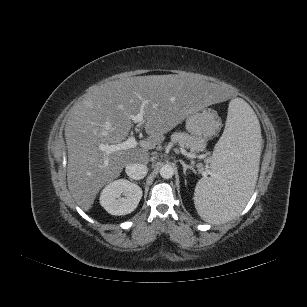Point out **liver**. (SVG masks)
<instances>
[{"label": "liver", "instance_id": "6515ba94", "mask_svg": "<svg viewBox=\"0 0 307 307\" xmlns=\"http://www.w3.org/2000/svg\"><path fill=\"white\" fill-rule=\"evenodd\" d=\"M232 96L228 87L192 74L137 76L90 87L68 112L65 126L67 182L74 201L88 211L104 185L130 163L147 164L149 150L162 144L164 135L190 113L212 103H227ZM141 109L149 136L137 147L111 153L105 165L99 144L125 140L133 126L132 116Z\"/></svg>", "mask_w": 307, "mask_h": 307}]
</instances>
